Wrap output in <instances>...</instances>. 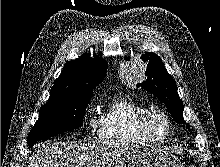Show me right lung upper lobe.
Here are the masks:
<instances>
[{
	"instance_id": "right-lung-upper-lobe-1",
	"label": "right lung upper lobe",
	"mask_w": 220,
	"mask_h": 167,
	"mask_svg": "<svg viewBox=\"0 0 220 167\" xmlns=\"http://www.w3.org/2000/svg\"><path fill=\"white\" fill-rule=\"evenodd\" d=\"M107 62L94 56L83 54L80 58L64 65L61 75L55 80L49 99H56L79 93H93L105 77Z\"/></svg>"
}]
</instances>
